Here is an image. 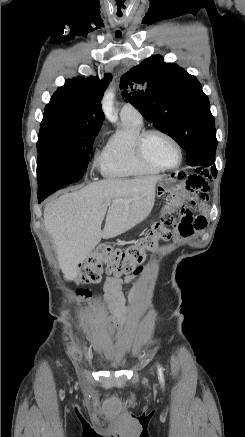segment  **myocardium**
<instances>
[{
    "label": "myocardium",
    "instance_id": "myocardium-1",
    "mask_svg": "<svg viewBox=\"0 0 245 437\" xmlns=\"http://www.w3.org/2000/svg\"><path fill=\"white\" fill-rule=\"evenodd\" d=\"M153 134H158L163 136L164 138H166L167 140H169L177 149L178 152V161L176 164L172 165V166H164L161 165L153 160H151L146 152H145V141L146 139ZM135 149H136V153L138 155V157L147 165L155 167L157 169L160 170H174L176 168H178L183 160V151H182V147L179 144V142L168 132L162 130V129H157V128H152V129H146L144 131H142L136 138L135 141Z\"/></svg>",
    "mask_w": 245,
    "mask_h": 437
}]
</instances>
